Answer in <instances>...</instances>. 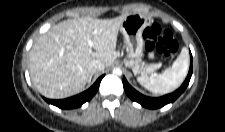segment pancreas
<instances>
[{
    "instance_id": "1",
    "label": "pancreas",
    "mask_w": 225,
    "mask_h": 132,
    "mask_svg": "<svg viewBox=\"0 0 225 132\" xmlns=\"http://www.w3.org/2000/svg\"><path fill=\"white\" fill-rule=\"evenodd\" d=\"M139 61H130V62H127L126 64L129 65V66H133L135 64V66H133V71L135 73L139 72V66H137ZM156 65V64H153V65H150V66H147V67H144V72H151L152 71V67Z\"/></svg>"
}]
</instances>
